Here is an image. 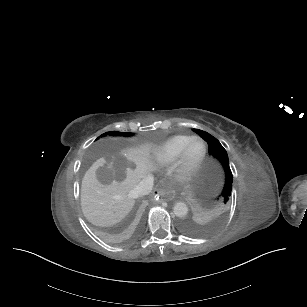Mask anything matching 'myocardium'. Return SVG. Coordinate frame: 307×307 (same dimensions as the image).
Listing matches in <instances>:
<instances>
[{
	"instance_id": "1",
	"label": "myocardium",
	"mask_w": 307,
	"mask_h": 307,
	"mask_svg": "<svg viewBox=\"0 0 307 307\" xmlns=\"http://www.w3.org/2000/svg\"><path fill=\"white\" fill-rule=\"evenodd\" d=\"M194 142L202 143L204 149L201 157L198 160H196L195 162H190L188 160V152L190 146ZM207 154H208V146L206 142L201 138L192 137L186 143L180 155L167 166L166 169L167 176L179 182H186L190 180L205 163Z\"/></svg>"
}]
</instances>
